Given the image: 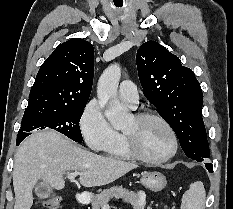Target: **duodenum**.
Here are the masks:
<instances>
[{
  "label": "duodenum",
  "instance_id": "obj_1",
  "mask_svg": "<svg viewBox=\"0 0 233 209\" xmlns=\"http://www.w3.org/2000/svg\"><path fill=\"white\" fill-rule=\"evenodd\" d=\"M76 199H77V202H78L79 204H86L87 201H88L87 196H86L85 194H83V193H79V194L77 195Z\"/></svg>",
  "mask_w": 233,
  "mask_h": 209
}]
</instances>
